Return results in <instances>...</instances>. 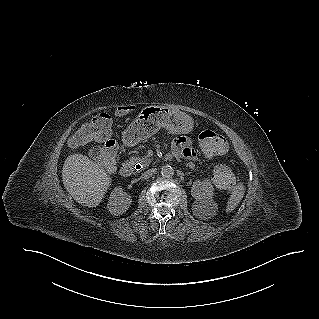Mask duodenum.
Instances as JSON below:
<instances>
[{"label":"duodenum","instance_id":"obj_1","mask_svg":"<svg viewBox=\"0 0 319 319\" xmlns=\"http://www.w3.org/2000/svg\"><path fill=\"white\" fill-rule=\"evenodd\" d=\"M126 143L131 144V141L128 139L126 140ZM133 172H134V165L132 163L126 162L121 166L120 173L122 176L129 177L133 174Z\"/></svg>","mask_w":319,"mask_h":319}]
</instances>
